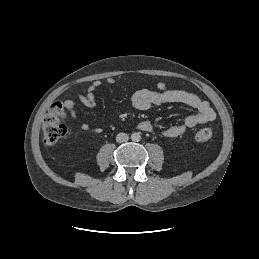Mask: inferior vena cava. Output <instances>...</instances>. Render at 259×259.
<instances>
[{"mask_svg": "<svg viewBox=\"0 0 259 259\" xmlns=\"http://www.w3.org/2000/svg\"><path fill=\"white\" fill-rule=\"evenodd\" d=\"M129 139V136L126 134V133H119L117 136H116V141L118 143H124V142H127Z\"/></svg>", "mask_w": 259, "mask_h": 259, "instance_id": "602c4592", "label": "inferior vena cava"}]
</instances>
